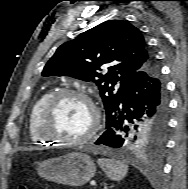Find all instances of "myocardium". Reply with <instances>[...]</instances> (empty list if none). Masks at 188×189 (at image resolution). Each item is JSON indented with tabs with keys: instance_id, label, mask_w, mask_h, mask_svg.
<instances>
[{
	"instance_id": "1",
	"label": "myocardium",
	"mask_w": 188,
	"mask_h": 189,
	"mask_svg": "<svg viewBox=\"0 0 188 189\" xmlns=\"http://www.w3.org/2000/svg\"><path fill=\"white\" fill-rule=\"evenodd\" d=\"M69 97L78 98L85 101L90 107V110L93 115V122L88 132L84 134L82 137L75 139H66V138H62L59 135H54L49 128L50 119L56 106L61 100ZM100 127H101V112L97 104L93 100V98L89 94L83 91L74 90V89H61L54 92L52 96L45 103L40 113L37 124L38 132L42 138L48 141L58 142L62 145H67V146H77L90 141L97 135V133L100 130Z\"/></svg>"
}]
</instances>
